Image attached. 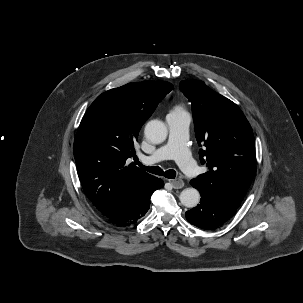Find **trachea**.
<instances>
[{"label":"trachea","mask_w":303,"mask_h":303,"mask_svg":"<svg viewBox=\"0 0 303 303\" xmlns=\"http://www.w3.org/2000/svg\"><path fill=\"white\" fill-rule=\"evenodd\" d=\"M136 164L142 168L143 170L147 171V172H150L152 174H155V175H159V176H164L168 179H174L176 177V171L172 170V169H169L167 171H163L160 167L158 166H152V167H149V166H144L142 163H140L139 161L136 162Z\"/></svg>","instance_id":"trachea-1"}]
</instances>
